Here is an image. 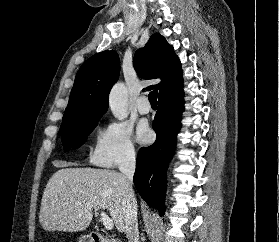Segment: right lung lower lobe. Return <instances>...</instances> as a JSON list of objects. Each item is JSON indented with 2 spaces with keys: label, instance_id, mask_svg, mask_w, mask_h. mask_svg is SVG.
Returning a JSON list of instances; mask_svg holds the SVG:
<instances>
[{
  "label": "right lung lower lobe",
  "instance_id": "98d812e1",
  "mask_svg": "<svg viewBox=\"0 0 279 242\" xmlns=\"http://www.w3.org/2000/svg\"><path fill=\"white\" fill-rule=\"evenodd\" d=\"M182 87L171 95L159 98L153 121L157 134L155 143L138 152L134 184L140 196L160 215L164 213L166 171L176 145L184 110Z\"/></svg>",
  "mask_w": 279,
  "mask_h": 242
}]
</instances>
